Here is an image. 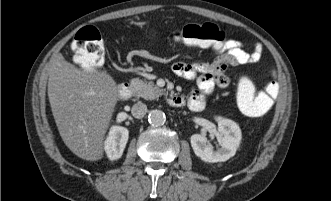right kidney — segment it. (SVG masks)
<instances>
[{
  "label": "right kidney",
  "instance_id": "1",
  "mask_svg": "<svg viewBox=\"0 0 331 201\" xmlns=\"http://www.w3.org/2000/svg\"><path fill=\"white\" fill-rule=\"evenodd\" d=\"M128 129L121 126H113L104 143L105 152L110 160H116L123 154L128 141Z\"/></svg>",
  "mask_w": 331,
  "mask_h": 201
}]
</instances>
